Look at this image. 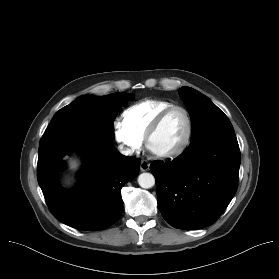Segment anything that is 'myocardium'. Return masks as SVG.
I'll return each mask as SVG.
<instances>
[{
    "label": "myocardium",
    "instance_id": "obj_1",
    "mask_svg": "<svg viewBox=\"0 0 279 279\" xmlns=\"http://www.w3.org/2000/svg\"><path fill=\"white\" fill-rule=\"evenodd\" d=\"M175 110L182 111L184 113V115H185V118H186L187 128H186V133H185V136H184L183 140L180 142V144L178 146H176L175 148H173V149H171L169 151H165V152L154 151L152 149L151 145H150L152 137L156 134V132L158 131V129L162 125V123L165 120V118L172 111H175ZM192 134H193V120H192L190 112L185 107H183V106L172 105V106H169V107L165 108L164 110H162L156 116V118L153 120V122L149 126V128H148V130L146 132V135L144 137L145 145H146L147 150L152 155H154L155 157H157L159 159H170V158H174V157L180 155L182 152H184V150L190 144V141H191V138H192Z\"/></svg>",
    "mask_w": 279,
    "mask_h": 279
}]
</instances>
